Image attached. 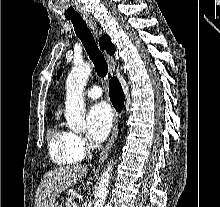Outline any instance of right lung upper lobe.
Returning a JSON list of instances; mask_svg holds the SVG:
<instances>
[{
    "mask_svg": "<svg viewBox=\"0 0 220 207\" xmlns=\"http://www.w3.org/2000/svg\"><path fill=\"white\" fill-rule=\"evenodd\" d=\"M99 44L102 50L105 49L110 55L114 54L115 46L112 44L110 38L107 35H104L99 39ZM50 116H52V112H50Z\"/></svg>",
    "mask_w": 220,
    "mask_h": 207,
    "instance_id": "cb5924a9",
    "label": "right lung upper lobe"
}]
</instances>
